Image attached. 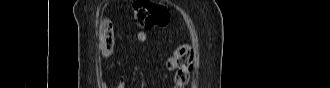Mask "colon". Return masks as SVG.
I'll list each match as a JSON object with an SVG mask.
<instances>
[{
    "mask_svg": "<svg viewBox=\"0 0 330 88\" xmlns=\"http://www.w3.org/2000/svg\"><path fill=\"white\" fill-rule=\"evenodd\" d=\"M135 23L142 28L152 29L167 24L168 14L165 8L147 1L138 0L133 4ZM114 48V35L111 24L102 27L100 49L109 55ZM194 66V54L189 45H180L174 49L167 61V69L174 72V81L177 87H185L191 76Z\"/></svg>",
    "mask_w": 330,
    "mask_h": 88,
    "instance_id": "5ec220e1",
    "label": "colon"
}]
</instances>
